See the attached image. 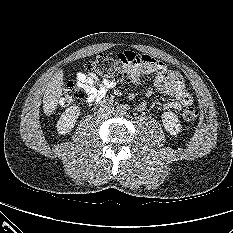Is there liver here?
Instances as JSON below:
<instances>
[{"label":"liver","mask_w":233,"mask_h":233,"mask_svg":"<svg viewBox=\"0 0 233 233\" xmlns=\"http://www.w3.org/2000/svg\"><path fill=\"white\" fill-rule=\"evenodd\" d=\"M63 90V72L58 71L49 81L43 97V110L49 116L56 109Z\"/></svg>","instance_id":"liver-1"}]
</instances>
